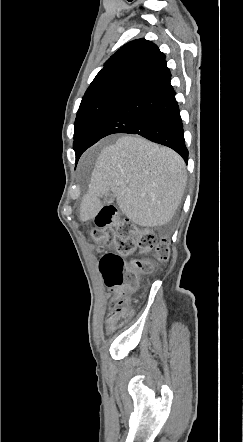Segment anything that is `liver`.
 <instances>
[{
  "mask_svg": "<svg viewBox=\"0 0 243 442\" xmlns=\"http://www.w3.org/2000/svg\"><path fill=\"white\" fill-rule=\"evenodd\" d=\"M187 182L185 163L170 148L142 137L125 135L101 151L89 192L80 205L82 222L102 209L100 197L112 191L122 213L141 227L169 223Z\"/></svg>",
  "mask_w": 243,
  "mask_h": 442,
  "instance_id": "1",
  "label": "liver"
}]
</instances>
